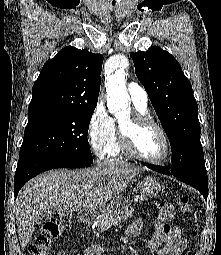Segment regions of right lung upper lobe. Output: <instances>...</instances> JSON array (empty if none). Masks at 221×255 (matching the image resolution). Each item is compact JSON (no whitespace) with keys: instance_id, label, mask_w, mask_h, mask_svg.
Returning a JSON list of instances; mask_svg holds the SVG:
<instances>
[{"instance_id":"right-lung-upper-lobe-1","label":"right lung upper lobe","mask_w":221,"mask_h":255,"mask_svg":"<svg viewBox=\"0 0 221 255\" xmlns=\"http://www.w3.org/2000/svg\"><path fill=\"white\" fill-rule=\"evenodd\" d=\"M103 56L65 47L48 60L34 83L28 113L45 109H93Z\"/></svg>"}]
</instances>
